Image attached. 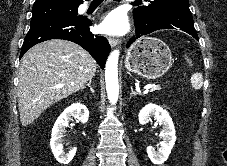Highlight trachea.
I'll use <instances>...</instances> for the list:
<instances>
[{"label": "trachea", "mask_w": 227, "mask_h": 166, "mask_svg": "<svg viewBox=\"0 0 227 166\" xmlns=\"http://www.w3.org/2000/svg\"><path fill=\"white\" fill-rule=\"evenodd\" d=\"M103 0H93L92 3H99V2H102ZM115 1H119V0H115ZM134 3H137V2H134Z\"/></svg>", "instance_id": "1"}]
</instances>
